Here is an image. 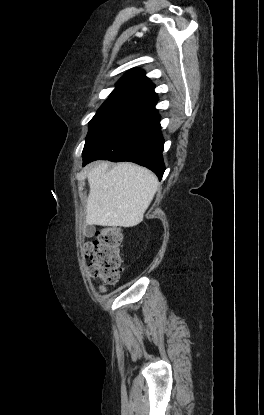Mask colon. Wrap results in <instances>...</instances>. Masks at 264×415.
I'll return each mask as SVG.
<instances>
[{
  "label": "colon",
  "mask_w": 264,
  "mask_h": 415,
  "mask_svg": "<svg viewBox=\"0 0 264 415\" xmlns=\"http://www.w3.org/2000/svg\"><path fill=\"white\" fill-rule=\"evenodd\" d=\"M123 233L116 227H101L94 233V240L85 246L88 272L91 279L100 282V291L115 284L124 266L121 255Z\"/></svg>",
  "instance_id": "1"
}]
</instances>
